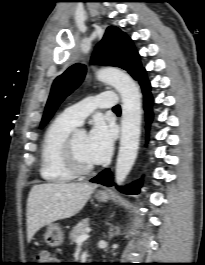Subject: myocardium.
<instances>
[{
	"label": "myocardium",
	"instance_id": "obj_1",
	"mask_svg": "<svg viewBox=\"0 0 205 265\" xmlns=\"http://www.w3.org/2000/svg\"><path fill=\"white\" fill-rule=\"evenodd\" d=\"M77 133H71L66 141L65 145V152H64V159L65 163L68 167V169L74 174V175H88L92 173L95 170L94 165L85 166L82 165L75 152V136Z\"/></svg>",
	"mask_w": 205,
	"mask_h": 265
}]
</instances>
